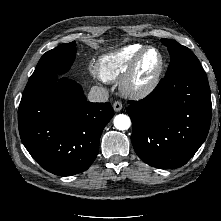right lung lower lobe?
I'll use <instances>...</instances> for the list:
<instances>
[{"mask_svg": "<svg viewBox=\"0 0 221 221\" xmlns=\"http://www.w3.org/2000/svg\"><path fill=\"white\" fill-rule=\"evenodd\" d=\"M55 72L32 75L18 109L25 148L45 170L70 176L87 170L101 133L113 117L107 103L88 102L75 81Z\"/></svg>", "mask_w": 221, "mask_h": 221, "instance_id": "1", "label": "right lung lower lobe"}]
</instances>
